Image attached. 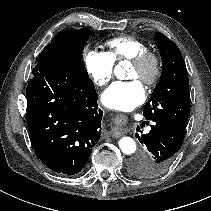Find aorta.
Masks as SVG:
<instances>
[{
  "label": "aorta",
  "instance_id": "obj_1",
  "mask_svg": "<svg viewBox=\"0 0 211 211\" xmlns=\"http://www.w3.org/2000/svg\"><path fill=\"white\" fill-rule=\"evenodd\" d=\"M119 70L120 66H117L115 68V74L117 77H119ZM119 147L121 151L126 155H131L136 151L135 141L128 136H124L119 140Z\"/></svg>",
  "mask_w": 211,
  "mask_h": 211
}]
</instances>
